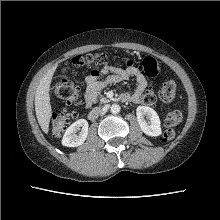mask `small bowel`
<instances>
[{
  "label": "small bowel",
  "instance_id": "small-bowel-1",
  "mask_svg": "<svg viewBox=\"0 0 220 220\" xmlns=\"http://www.w3.org/2000/svg\"><path fill=\"white\" fill-rule=\"evenodd\" d=\"M132 76L136 78V89L132 94H123L122 100L126 102L132 101L135 103H143L142 99L147 89V81L136 67L128 65L126 69L103 68L93 71L87 76L85 78L86 88L84 93L85 107L89 108L98 100L99 90L104 82L116 84L126 81Z\"/></svg>",
  "mask_w": 220,
  "mask_h": 220
}]
</instances>
